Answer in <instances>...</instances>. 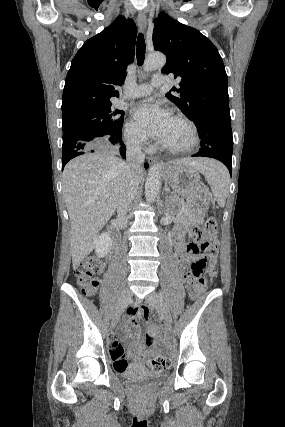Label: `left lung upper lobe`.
<instances>
[{
    "label": "left lung upper lobe",
    "mask_w": 285,
    "mask_h": 427,
    "mask_svg": "<svg viewBox=\"0 0 285 427\" xmlns=\"http://www.w3.org/2000/svg\"><path fill=\"white\" fill-rule=\"evenodd\" d=\"M153 44L167 57L162 73L181 80L166 97L189 119L206 113L230 116L227 74L208 38L162 12L154 23Z\"/></svg>",
    "instance_id": "left-lung-upper-lobe-1"
}]
</instances>
